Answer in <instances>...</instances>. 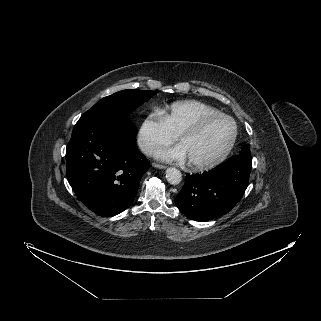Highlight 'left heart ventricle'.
I'll return each mask as SVG.
<instances>
[{
	"instance_id": "obj_1",
	"label": "left heart ventricle",
	"mask_w": 321,
	"mask_h": 321,
	"mask_svg": "<svg viewBox=\"0 0 321 321\" xmlns=\"http://www.w3.org/2000/svg\"><path fill=\"white\" fill-rule=\"evenodd\" d=\"M233 131L232 123L226 119H215L207 123L194 135L184 136L182 144L187 159L208 162L218 157L230 141Z\"/></svg>"
}]
</instances>
